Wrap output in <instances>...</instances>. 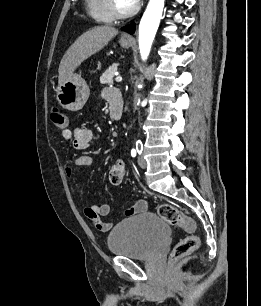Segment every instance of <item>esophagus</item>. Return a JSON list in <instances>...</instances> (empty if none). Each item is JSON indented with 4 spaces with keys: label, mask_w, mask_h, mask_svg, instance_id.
Returning <instances> with one entry per match:
<instances>
[{
    "label": "esophagus",
    "mask_w": 261,
    "mask_h": 306,
    "mask_svg": "<svg viewBox=\"0 0 261 306\" xmlns=\"http://www.w3.org/2000/svg\"><path fill=\"white\" fill-rule=\"evenodd\" d=\"M122 39H123V40L131 41V40H132V37H131L130 35H128V34H125V35L122 36Z\"/></svg>",
    "instance_id": "34e87169"
}]
</instances>
